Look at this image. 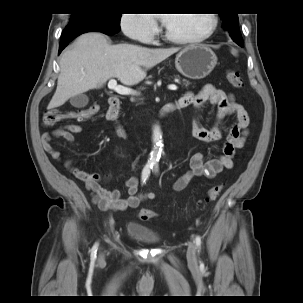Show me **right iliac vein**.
<instances>
[{
    "mask_svg": "<svg viewBox=\"0 0 303 303\" xmlns=\"http://www.w3.org/2000/svg\"><path fill=\"white\" fill-rule=\"evenodd\" d=\"M99 261L100 262L104 261V253H100V255H99Z\"/></svg>",
    "mask_w": 303,
    "mask_h": 303,
    "instance_id": "obj_1",
    "label": "right iliac vein"
}]
</instances>
